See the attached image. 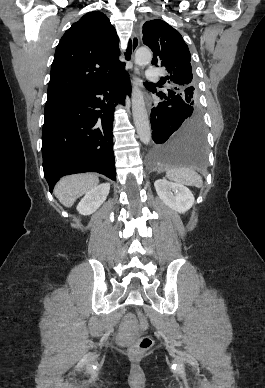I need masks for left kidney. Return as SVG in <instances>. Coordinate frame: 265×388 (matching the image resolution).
<instances>
[{
    "label": "left kidney",
    "instance_id": "5707ae66",
    "mask_svg": "<svg viewBox=\"0 0 265 388\" xmlns=\"http://www.w3.org/2000/svg\"><path fill=\"white\" fill-rule=\"evenodd\" d=\"M154 186L160 200L171 210L184 214L192 208L194 196L185 186L173 184V182H167V180H156Z\"/></svg>",
    "mask_w": 265,
    "mask_h": 388
}]
</instances>
